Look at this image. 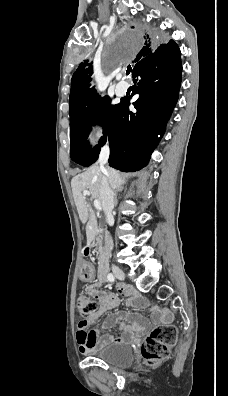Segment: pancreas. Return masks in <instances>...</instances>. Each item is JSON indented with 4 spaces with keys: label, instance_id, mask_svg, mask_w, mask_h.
<instances>
[{
    "label": "pancreas",
    "instance_id": "pancreas-1",
    "mask_svg": "<svg viewBox=\"0 0 228 396\" xmlns=\"http://www.w3.org/2000/svg\"><path fill=\"white\" fill-rule=\"evenodd\" d=\"M99 237H100V235L97 238L96 246H100L101 245V239Z\"/></svg>",
    "mask_w": 228,
    "mask_h": 396
}]
</instances>
